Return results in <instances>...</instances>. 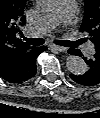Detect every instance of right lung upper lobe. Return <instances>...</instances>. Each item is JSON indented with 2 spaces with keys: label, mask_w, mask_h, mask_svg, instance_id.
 <instances>
[{
  "label": "right lung upper lobe",
  "mask_w": 100,
  "mask_h": 118,
  "mask_svg": "<svg viewBox=\"0 0 100 118\" xmlns=\"http://www.w3.org/2000/svg\"><path fill=\"white\" fill-rule=\"evenodd\" d=\"M27 0H0V65L12 62L19 53L31 47L17 37L24 25L23 15Z\"/></svg>",
  "instance_id": "right-lung-upper-lobe-1"
}]
</instances>
